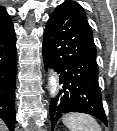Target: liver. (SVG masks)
Returning <instances> with one entry per match:
<instances>
[{"label":"liver","mask_w":117,"mask_h":131,"mask_svg":"<svg viewBox=\"0 0 117 131\" xmlns=\"http://www.w3.org/2000/svg\"><path fill=\"white\" fill-rule=\"evenodd\" d=\"M6 129L4 123L0 120V131H5Z\"/></svg>","instance_id":"liver-1"}]
</instances>
